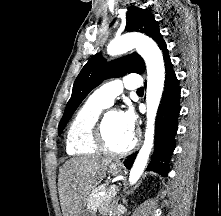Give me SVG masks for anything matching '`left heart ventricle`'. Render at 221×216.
Masks as SVG:
<instances>
[{"mask_svg":"<svg viewBox=\"0 0 221 216\" xmlns=\"http://www.w3.org/2000/svg\"><path fill=\"white\" fill-rule=\"evenodd\" d=\"M105 133L109 145L118 149L127 146L133 137L125 129L119 112H112L107 116Z\"/></svg>","mask_w":221,"mask_h":216,"instance_id":"b2bd125f","label":"left heart ventricle"}]
</instances>
